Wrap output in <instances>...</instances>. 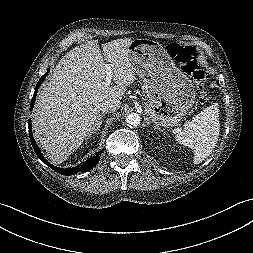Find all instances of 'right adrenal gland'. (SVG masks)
I'll use <instances>...</instances> for the list:
<instances>
[{
	"label": "right adrenal gland",
	"instance_id": "obj_1",
	"mask_svg": "<svg viewBox=\"0 0 253 253\" xmlns=\"http://www.w3.org/2000/svg\"><path fill=\"white\" fill-rule=\"evenodd\" d=\"M104 116H105L104 114H101V115L99 116V119H98V121H97V123H96V127H95V129H94V133H96V132L99 130L100 125L102 124V119H103Z\"/></svg>",
	"mask_w": 253,
	"mask_h": 253
}]
</instances>
